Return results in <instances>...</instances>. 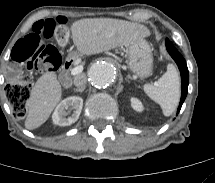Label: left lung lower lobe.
Returning <instances> with one entry per match:
<instances>
[{
	"label": "left lung lower lobe",
	"instance_id": "0a47b994",
	"mask_svg": "<svg viewBox=\"0 0 215 183\" xmlns=\"http://www.w3.org/2000/svg\"><path fill=\"white\" fill-rule=\"evenodd\" d=\"M166 48H167L169 54L171 55V57L177 63L178 68L180 70V74H181L182 95H181L180 103H179L178 110H177V114H178V112L180 111L182 104L187 96L188 84H189V73H188V68H187L185 59L177 51V49L168 39H166Z\"/></svg>",
	"mask_w": 215,
	"mask_h": 183
}]
</instances>
